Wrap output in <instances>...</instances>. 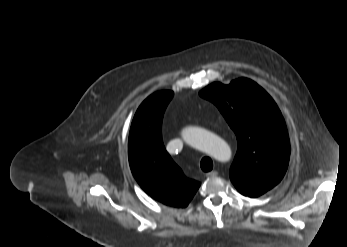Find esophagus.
<instances>
[{
	"label": "esophagus",
	"instance_id": "1",
	"mask_svg": "<svg viewBox=\"0 0 347 247\" xmlns=\"http://www.w3.org/2000/svg\"><path fill=\"white\" fill-rule=\"evenodd\" d=\"M217 175H218V172L216 170L206 173L207 177H215Z\"/></svg>",
	"mask_w": 347,
	"mask_h": 247
}]
</instances>
